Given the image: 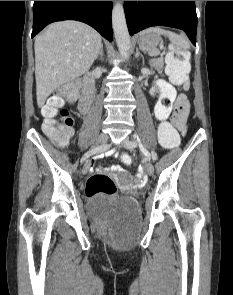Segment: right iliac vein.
Wrapping results in <instances>:
<instances>
[{"instance_id": "63e3f726", "label": "right iliac vein", "mask_w": 233, "mask_h": 295, "mask_svg": "<svg viewBox=\"0 0 233 295\" xmlns=\"http://www.w3.org/2000/svg\"><path fill=\"white\" fill-rule=\"evenodd\" d=\"M107 140H108V135L106 133H101L97 139V143H96L95 148L99 147V148H102L103 151H105L107 149L105 147ZM101 144H104V147H101ZM90 166H91V160L87 159L86 162L84 163V166L82 169L83 174H86L88 172Z\"/></svg>"}]
</instances>
